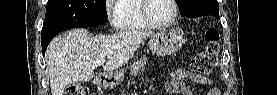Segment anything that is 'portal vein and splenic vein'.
Instances as JSON below:
<instances>
[{
	"label": "portal vein and splenic vein",
	"instance_id": "portal-vein-and-splenic-vein-1",
	"mask_svg": "<svg viewBox=\"0 0 277 95\" xmlns=\"http://www.w3.org/2000/svg\"><path fill=\"white\" fill-rule=\"evenodd\" d=\"M104 62H105V59L99 60V61L96 62V66H100Z\"/></svg>",
	"mask_w": 277,
	"mask_h": 95
}]
</instances>
